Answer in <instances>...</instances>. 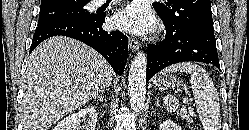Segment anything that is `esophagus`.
Segmentation results:
<instances>
[{
	"label": "esophagus",
	"instance_id": "esophagus-1",
	"mask_svg": "<svg viewBox=\"0 0 249 130\" xmlns=\"http://www.w3.org/2000/svg\"><path fill=\"white\" fill-rule=\"evenodd\" d=\"M129 47L133 52H136L140 48V43L133 38H129Z\"/></svg>",
	"mask_w": 249,
	"mask_h": 130
}]
</instances>
